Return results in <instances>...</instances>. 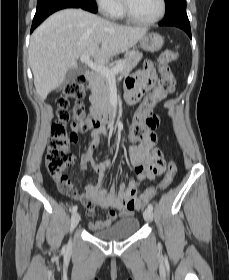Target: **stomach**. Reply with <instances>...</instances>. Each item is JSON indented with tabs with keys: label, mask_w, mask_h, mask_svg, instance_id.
<instances>
[{
	"label": "stomach",
	"mask_w": 229,
	"mask_h": 280,
	"mask_svg": "<svg viewBox=\"0 0 229 280\" xmlns=\"http://www.w3.org/2000/svg\"><path fill=\"white\" fill-rule=\"evenodd\" d=\"M164 43V39L157 33H149L140 39V46L144 51L156 52L159 51Z\"/></svg>",
	"instance_id": "obj_1"
}]
</instances>
